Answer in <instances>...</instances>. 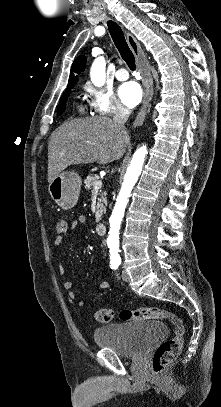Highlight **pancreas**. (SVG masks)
Instances as JSON below:
<instances>
[{
  "label": "pancreas",
  "mask_w": 221,
  "mask_h": 407,
  "mask_svg": "<svg viewBox=\"0 0 221 407\" xmlns=\"http://www.w3.org/2000/svg\"><path fill=\"white\" fill-rule=\"evenodd\" d=\"M99 180V176L97 174L89 175L87 178L84 180L85 188L86 190H92L94 188L95 183ZM106 193H101V197L98 199V204H97V209L95 212V221L99 222L101 219V216L105 210V203H106V198H105Z\"/></svg>",
  "instance_id": "pancreas-1"
}]
</instances>
